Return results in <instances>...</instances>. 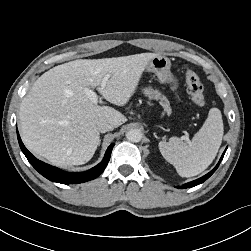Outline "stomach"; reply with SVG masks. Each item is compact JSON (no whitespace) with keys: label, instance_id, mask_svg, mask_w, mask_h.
Segmentation results:
<instances>
[{"label":"stomach","instance_id":"0dacf381","mask_svg":"<svg viewBox=\"0 0 251 251\" xmlns=\"http://www.w3.org/2000/svg\"><path fill=\"white\" fill-rule=\"evenodd\" d=\"M146 70L156 74L161 83H168L171 89L175 92V97L179 101L178 87L179 81L177 77L171 72V61L169 58L157 55L148 63Z\"/></svg>","mask_w":251,"mask_h":251}]
</instances>
